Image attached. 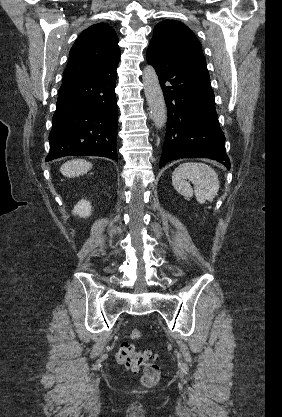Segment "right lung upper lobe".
I'll use <instances>...</instances> for the list:
<instances>
[{"label": "right lung upper lobe", "mask_w": 282, "mask_h": 417, "mask_svg": "<svg viewBox=\"0 0 282 417\" xmlns=\"http://www.w3.org/2000/svg\"><path fill=\"white\" fill-rule=\"evenodd\" d=\"M119 59L116 32L106 23H97L84 30L72 46L63 81L115 66Z\"/></svg>", "instance_id": "right-lung-upper-lobe-1"}]
</instances>
